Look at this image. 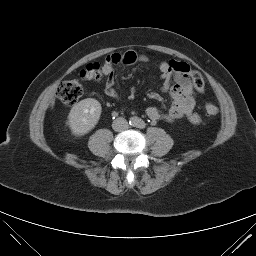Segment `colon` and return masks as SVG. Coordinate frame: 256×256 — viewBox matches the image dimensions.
Instances as JSON below:
<instances>
[{
  "mask_svg": "<svg viewBox=\"0 0 256 256\" xmlns=\"http://www.w3.org/2000/svg\"><path fill=\"white\" fill-rule=\"evenodd\" d=\"M107 62L110 61L109 56L106 58ZM103 66L104 63L101 65L99 63H89L82 71H81V78L87 81H95L102 77L103 75ZM191 80L194 88L198 91L204 90V79L200 73L197 71H191ZM83 94V86L80 81L74 80H65L61 82L57 89V96L60 101L67 105L71 106L74 105L82 96ZM205 112L209 116H215L218 114L219 110L217 106L211 103H207L205 105Z\"/></svg>",
  "mask_w": 256,
  "mask_h": 256,
  "instance_id": "1",
  "label": "colon"
}]
</instances>
